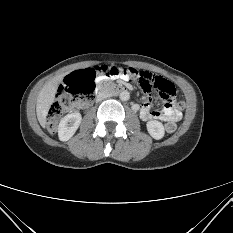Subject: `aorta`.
I'll list each match as a JSON object with an SVG mask.
<instances>
[{"label": "aorta", "instance_id": "1", "mask_svg": "<svg viewBox=\"0 0 233 233\" xmlns=\"http://www.w3.org/2000/svg\"><path fill=\"white\" fill-rule=\"evenodd\" d=\"M129 98H130V93L128 91H122L120 93V99L122 101H127V100H129Z\"/></svg>", "mask_w": 233, "mask_h": 233}]
</instances>
